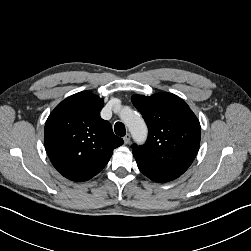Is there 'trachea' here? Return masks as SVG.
<instances>
[{"mask_svg": "<svg viewBox=\"0 0 251 251\" xmlns=\"http://www.w3.org/2000/svg\"><path fill=\"white\" fill-rule=\"evenodd\" d=\"M114 131L118 136H125L126 129L122 122H117L114 126Z\"/></svg>", "mask_w": 251, "mask_h": 251, "instance_id": "1", "label": "trachea"}]
</instances>
